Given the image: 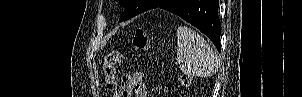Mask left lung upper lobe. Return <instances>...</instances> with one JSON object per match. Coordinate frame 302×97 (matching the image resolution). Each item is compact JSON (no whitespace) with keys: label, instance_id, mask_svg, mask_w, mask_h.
Here are the masks:
<instances>
[{"label":"left lung upper lobe","instance_id":"1","mask_svg":"<svg viewBox=\"0 0 302 97\" xmlns=\"http://www.w3.org/2000/svg\"><path fill=\"white\" fill-rule=\"evenodd\" d=\"M119 2L125 7L124 12L119 19L121 22L146 11L154 0H119Z\"/></svg>","mask_w":302,"mask_h":97}]
</instances>
